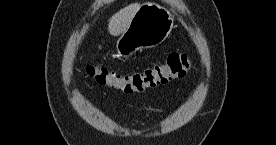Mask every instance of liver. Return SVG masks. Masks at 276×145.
<instances>
[{"label":"liver","mask_w":276,"mask_h":145,"mask_svg":"<svg viewBox=\"0 0 276 145\" xmlns=\"http://www.w3.org/2000/svg\"><path fill=\"white\" fill-rule=\"evenodd\" d=\"M139 3H132L115 13L108 23V32L112 36L124 33L130 25L132 18L139 9Z\"/></svg>","instance_id":"1"}]
</instances>
